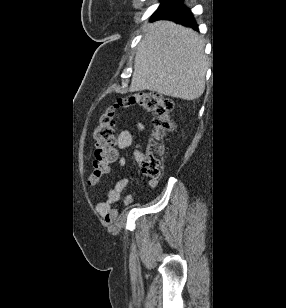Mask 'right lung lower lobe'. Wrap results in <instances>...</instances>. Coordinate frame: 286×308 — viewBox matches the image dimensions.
Masks as SVG:
<instances>
[{"label":"right lung lower lobe","mask_w":286,"mask_h":308,"mask_svg":"<svg viewBox=\"0 0 286 308\" xmlns=\"http://www.w3.org/2000/svg\"><path fill=\"white\" fill-rule=\"evenodd\" d=\"M154 19L174 20L179 24L198 29L191 11L182 4V0H173L165 8L158 10L152 17Z\"/></svg>","instance_id":"1"}]
</instances>
